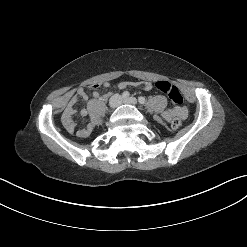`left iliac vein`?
Instances as JSON below:
<instances>
[{
    "mask_svg": "<svg viewBox=\"0 0 247 247\" xmlns=\"http://www.w3.org/2000/svg\"><path fill=\"white\" fill-rule=\"evenodd\" d=\"M123 102L125 104H129V105H133V106H136L137 103H138L136 98H134V97H130V98L124 99Z\"/></svg>",
    "mask_w": 247,
    "mask_h": 247,
    "instance_id": "obj_1",
    "label": "left iliac vein"
}]
</instances>
